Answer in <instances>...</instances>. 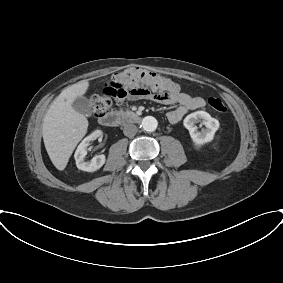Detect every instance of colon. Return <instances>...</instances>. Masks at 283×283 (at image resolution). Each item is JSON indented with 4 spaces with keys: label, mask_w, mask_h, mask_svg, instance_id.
<instances>
[{
    "label": "colon",
    "mask_w": 283,
    "mask_h": 283,
    "mask_svg": "<svg viewBox=\"0 0 283 283\" xmlns=\"http://www.w3.org/2000/svg\"><path fill=\"white\" fill-rule=\"evenodd\" d=\"M172 89L171 80L167 77L139 67H129L116 73L101 93L91 98L93 116L96 118L106 114L112 101L132 95L139 98L157 96L167 97ZM209 107L217 113L223 114L227 108L219 97L208 99Z\"/></svg>",
    "instance_id": "obj_1"
}]
</instances>
